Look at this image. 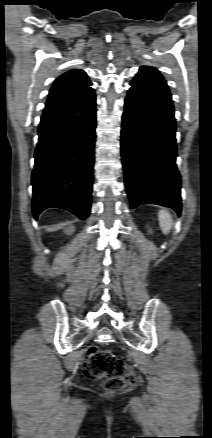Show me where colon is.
Segmentation results:
<instances>
[{"mask_svg": "<svg viewBox=\"0 0 212 438\" xmlns=\"http://www.w3.org/2000/svg\"><path fill=\"white\" fill-rule=\"evenodd\" d=\"M84 374L92 380H104V388L114 392L136 381L133 370L110 350L91 347L84 362Z\"/></svg>", "mask_w": 212, "mask_h": 438, "instance_id": "1", "label": "colon"}]
</instances>
